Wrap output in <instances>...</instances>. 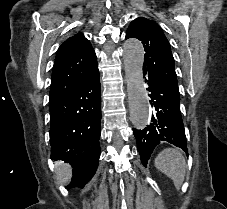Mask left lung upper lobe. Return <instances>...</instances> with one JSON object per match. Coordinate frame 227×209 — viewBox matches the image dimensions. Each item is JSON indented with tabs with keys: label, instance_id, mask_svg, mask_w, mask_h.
Instances as JSON below:
<instances>
[{
	"label": "left lung upper lobe",
	"instance_id": "obj_1",
	"mask_svg": "<svg viewBox=\"0 0 227 209\" xmlns=\"http://www.w3.org/2000/svg\"><path fill=\"white\" fill-rule=\"evenodd\" d=\"M131 37L141 40L145 48L144 74L155 77L163 87L179 94L174 58L160 26L147 18H136L130 23L125 39Z\"/></svg>",
	"mask_w": 227,
	"mask_h": 209
}]
</instances>
